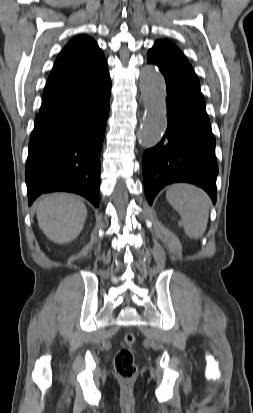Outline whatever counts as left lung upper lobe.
Masks as SVG:
<instances>
[{
  "label": "left lung upper lobe",
  "mask_w": 253,
  "mask_h": 413,
  "mask_svg": "<svg viewBox=\"0 0 253 413\" xmlns=\"http://www.w3.org/2000/svg\"><path fill=\"white\" fill-rule=\"evenodd\" d=\"M148 59L161 67L189 72L196 76L184 54L173 43L167 40L157 41L148 51Z\"/></svg>",
  "instance_id": "5c2ea615"
}]
</instances>
